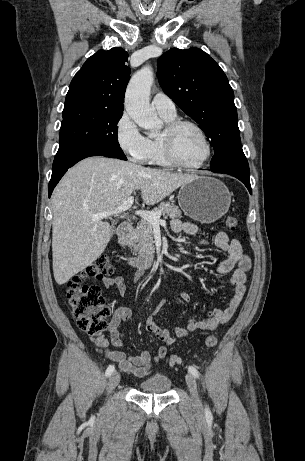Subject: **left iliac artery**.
<instances>
[{"label":"left iliac artery","instance_id":"left-iliac-artery-1","mask_svg":"<svg viewBox=\"0 0 305 461\" xmlns=\"http://www.w3.org/2000/svg\"><path fill=\"white\" fill-rule=\"evenodd\" d=\"M188 370L195 378H199V372L194 366H189ZM205 412L206 415H211V411L208 406H206Z\"/></svg>","mask_w":305,"mask_h":461}]
</instances>
